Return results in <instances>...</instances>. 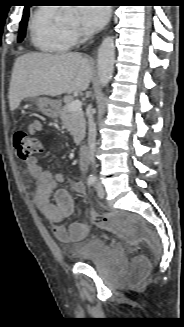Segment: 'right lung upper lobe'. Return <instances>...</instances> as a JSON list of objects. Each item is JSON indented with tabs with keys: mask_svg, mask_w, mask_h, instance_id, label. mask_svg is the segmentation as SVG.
Returning <instances> with one entry per match:
<instances>
[{
	"mask_svg": "<svg viewBox=\"0 0 184 327\" xmlns=\"http://www.w3.org/2000/svg\"><path fill=\"white\" fill-rule=\"evenodd\" d=\"M29 12L28 6H25L24 13Z\"/></svg>",
	"mask_w": 184,
	"mask_h": 327,
	"instance_id": "right-lung-upper-lobe-1",
	"label": "right lung upper lobe"
}]
</instances>
